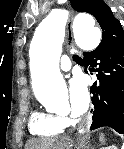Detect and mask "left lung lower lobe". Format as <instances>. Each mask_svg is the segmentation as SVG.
<instances>
[{"mask_svg": "<svg viewBox=\"0 0 124 149\" xmlns=\"http://www.w3.org/2000/svg\"><path fill=\"white\" fill-rule=\"evenodd\" d=\"M84 60L90 72H98V81L91 86L94 111L90 129L111 127L124 134V42L86 53Z\"/></svg>", "mask_w": 124, "mask_h": 149, "instance_id": "1", "label": "left lung lower lobe"}]
</instances>
